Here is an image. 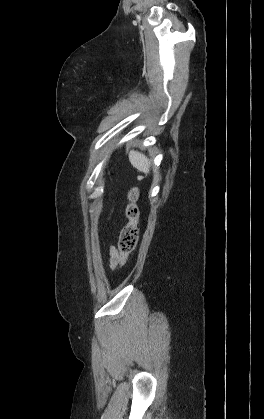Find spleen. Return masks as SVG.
I'll use <instances>...</instances> for the list:
<instances>
[{
    "mask_svg": "<svg viewBox=\"0 0 264 419\" xmlns=\"http://www.w3.org/2000/svg\"><path fill=\"white\" fill-rule=\"evenodd\" d=\"M129 161L138 171L149 173L150 162L145 155L132 150L129 152Z\"/></svg>",
    "mask_w": 264,
    "mask_h": 419,
    "instance_id": "3e777b00",
    "label": "spleen"
}]
</instances>
